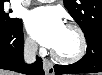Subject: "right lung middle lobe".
I'll return each mask as SVG.
<instances>
[{
  "instance_id": "1",
  "label": "right lung middle lobe",
  "mask_w": 102,
  "mask_h": 75,
  "mask_svg": "<svg viewBox=\"0 0 102 75\" xmlns=\"http://www.w3.org/2000/svg\"><path fill=\"white\" fill-rule=\"evenodd\" d=\"M11 12L4 8V1H0V27H13L22 22L19 18L10 17Z\"/></svg>"
}]
</instances>
